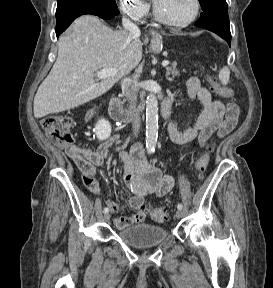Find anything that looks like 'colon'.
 <instances>
[{
    "label": "colon",
    "mask_w": 273,
    "mask_h": 288,
    "mask_svg": "<svg viewBox=\"0 0 273 288\" xmlns=\"http://www.w3.org/2000/svg\"><path fill=\"white\" fill-rule=\"evenodd\" d=\"M212 88L219 96L231 99L234 96L233 89L225 86H221L217 82L211 80ZM41 126L51 140V142L60 148H69L74 141L72 134V120L65 115H49L42 119ZM214 149L213 144H208L206 150L198 157L195 162V171L197 176L201 178L205 173L211 153ZM145 210L150 214V217L155 222H164L168 218V213L164 208H151L146 206Z\"/></svg>",
    "instance_id": "obj_1"
}]
</instances>
